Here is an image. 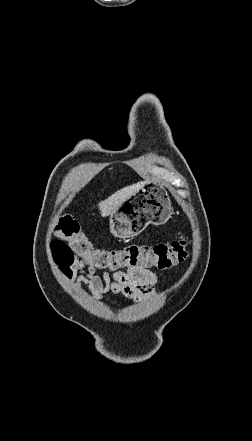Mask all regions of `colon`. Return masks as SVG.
I'll return each instance as SVG.
<instances>
[{
    "label": "colon",
    "instance_id": "obj_1",
    "mask_svg": "<svg viewBox=\"0 0 252 441\" xmlns=\"http://www.w3.org/2000/svg\"><path fill=\"white\" fill-rule=\"evenodd\" d=\"M56 233L58 238L51 242V252L65 273L76 256L95 269L119 272L136 267L168 269L183 262L188 255L187 240L183 235L167 244L129 245L120 250L98 249L70 216L59 219Z\"/></svg>",
    "mask_w": 252,
    "mask_h": 441
}]
</instances>
